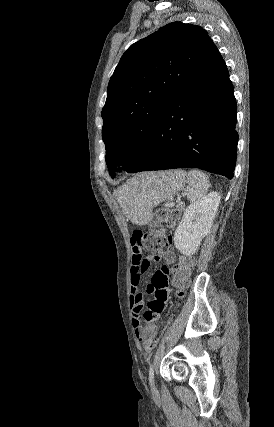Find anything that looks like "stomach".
<instances>
[{
	"label": "stomach",
	"mask_w": 274,
	"mask_h": 427,
	"mask_svg": "<svg viewBox=\"0 0 274 427\" xmlns=\"http://www.w3.org/2000/svg\"><path fill=\"white\" fill-rule=\"evenodd\" d=\"M186 172L170 170L158 174H141L119 188L126 214L134 223H148L152 208L171 200L186 184Z\"/></svg>",
	"instance_id": "1"
}]
</instances>
